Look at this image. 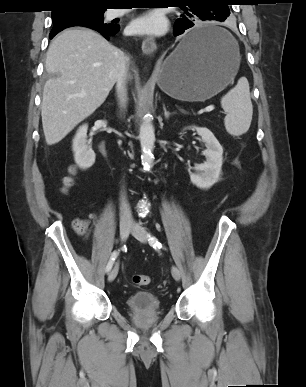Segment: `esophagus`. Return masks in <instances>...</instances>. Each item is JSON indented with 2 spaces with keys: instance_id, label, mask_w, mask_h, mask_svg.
<instances>
[{
  "instance_id": "34e87169",
  "label": "esophagus",
  "mask_w": 306,
  "mask_h": 387,
  "mask_svg": "<svg viewBox=\"0 0 306 387\" xmlns=\"http://www.w3.org/2000/svg\"><path fill=\"white\" fill-rule=\"evenodd\" d=\"M157 49L155 40L152 37H147L142 42V51L147 54H153Z\"/></svg>"
}]
</instances>
